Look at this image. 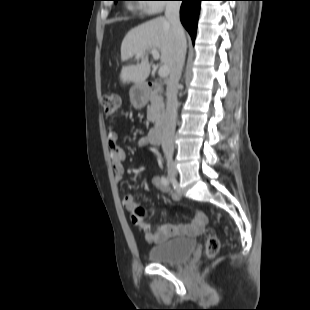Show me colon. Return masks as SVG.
I'll return each instance as SVG.
<instances>
[{
  "mask_svg": "<svg viewBox=\"0 0 310 310\" xmlns=\"http://www.w3.org/2000/svg\"><path fill=\"white\" fill-rule=\"evenodd\" d=\"M101 105L103 108V111L107 115H114L119 107H120V100L119 97L115 94H107L103 95L101 98ZM144 213L142 208H137L136 214L138 216H142ZM220 248V242L216 235L213 233H208L205 243V252L207 257L212 258L214 257Z\"/></svg>",
  "mask_w": 310,
  "mask_h": 310,
  "instance_id": "5ec220e1",
  "label": "colon"
}]
</instances>
